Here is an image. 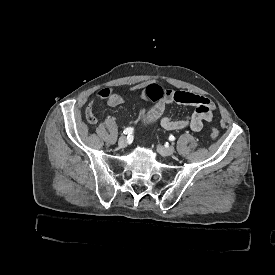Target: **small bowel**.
I'll list each match as a JSON object with an SVG mask.
<instances>
[{"instance_id":"1","label":"small bowel","mask_w":275,"mask_h":275,"mask_svg":"<svg viewBox=\"0 0 275 275\" xmlns=\"http://www.w3.org/2000/svg\"><path fill=\"white\" fill-rule=\"evenodd\" d=\"M146 87L147 84L145 82L139 83L131 87L126 93H114L104 88L98 91L96 98L88 106L95 107L96 101L106 100L109 106L116 107L122 104L129 95L142 93ZM173 103L193 105L196 109L182 119L169 116L162 117L165 107ZM214 108V104L207 97L186 91L169 90L166 91L163 99L152 106V113L146 118L144 128H150L159 121L161 127L166 130H180L189 127L192 131L198 132L203 128L204 122H209L213 119Z\"/></svg>"}]
</instances>
